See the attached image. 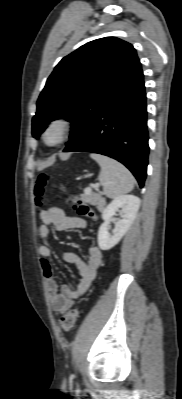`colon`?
<instances>
[{"label":"colon","instance_id":"1","mask_svg":"<svg viewBox=\"0 0 182 399\" xmlns=\"http://www.w3.org/2000/svg\"><path fill=\"white\" fill-rule=\"evenodd\" d=\"M50 182H51V178L48 174L41 173L38 176L37 182H36V185L34 188L35 201H36L37 205H39V206L42 205L46 188L48 187ZM61 190L65 191L64 187H61ZM66 202L69 205H72L80 215L87 216L91 219L97 218L96 213L93 211V209L77 195L72 194V193L67 194ZM77 317H78V309L77 308H72V309L68 310L59 319L60 327L66 332L70 331L74 327Z\"/></svg>","mask_w":182,"mask_h":399}]
</instances>
